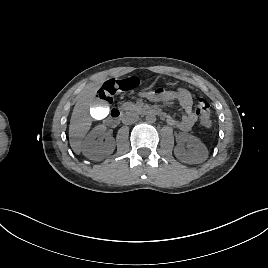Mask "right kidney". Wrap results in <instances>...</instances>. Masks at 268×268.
Instances as JSON below:
<instances>
[{"instance_id":"obj_1","label":"right kidney","mask_w":268,"mask_h":268,"mask_svg":"<svg viewBox=\"0 0 268 268\" xmlns=\"http://www.w3.org/2000/svg\"><path fill=\"white\" fill-rule=\"evenodd\" d=\"M106 127L104 125L96 126L82 142V153L90 160L99 161L113 153L115 141L108 136L105 142L99 140L105 135Z\"/></svg>"}]
</instances>
